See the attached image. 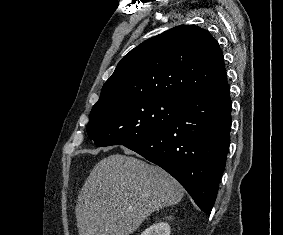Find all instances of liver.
I'll return each instance as SVG.
<instances>
[{"mask_svg": "<svg viewBox=\"0 0 283 235\" xmlns=\"http://www.w3.org/2000/svg\"><path fill=\"white\" fill-rule=\"evenodd\" d=\"M125 154L103 158L86 179L75 207L79 235H131L150 214L183 198L165 170Z\"/></svg>", "mask_w": 283, "mask_h": 235, "instance_id": "6515ba94", "label": "liver"}]
</instances>
